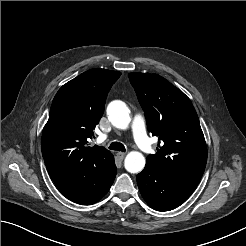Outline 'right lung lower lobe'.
Here are the masks:
<instances>
[{"label": "right lung lower lobe", "mask_w": 246, "mask_h": 246, "mask_svg": "<svg viewBox=\"0 0 246 246\" xmlns=\"http://www.w3.org/2000/svg\"><path fill=\"white\" fill-rule=\"evenodd\" d=\"M117 168L114 157L108 164L91 165L76 172L54 178L59 191L69 200L90 205L100 200L110 189Z\"/></svg>", "instance_id": "obj_1"}]
</instances>
